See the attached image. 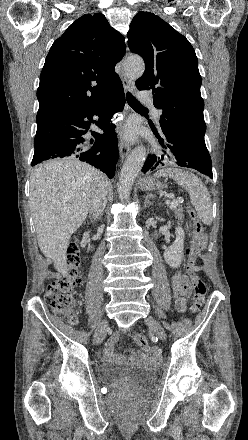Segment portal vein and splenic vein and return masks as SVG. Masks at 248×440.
<instances>
[{"label":"portal vein and splenic vein","mask_w":248,"mask_h":440,"mask_svg":"<svg viewBox=\"0 0 248 440\" xmlns=\"http://www.w3.org/2000/svg\"><path fill=\"white\" fill-rule=\"evenodd\" d=\"M178 205V200L173 199L171 202V206H177Z\"/></svg>","instance_id":"obj_1"}]
</instances>
